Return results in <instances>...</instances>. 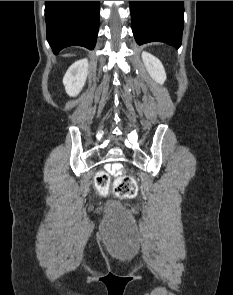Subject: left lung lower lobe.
Segmentation results:
<instances>
[{"instance_id":"0a47b994","label":"left lung lower lobe","mask_w":233,"mask_h":295,"mask_svg":"<svg viewBox=\"0 0 233 295\" xmlns=\"http://www.w3.org/2000/svg\"><path fill=\"white\" fill-rule=\"evenodd\" d=\"M132 31L141 45L160 41L179 48L184 27V1H129Z\"/></svg>"}]
</instances>
